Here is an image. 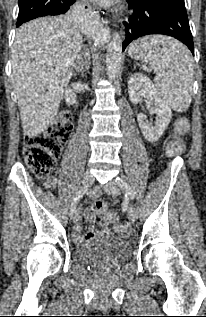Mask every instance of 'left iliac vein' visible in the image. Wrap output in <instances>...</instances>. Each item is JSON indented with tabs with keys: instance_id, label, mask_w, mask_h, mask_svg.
<instances>
[{
	"instance_id": "1",
	"label": "left iliac vein",
	"mask_w": 206,
	"mask_h": 317,
	"mask_svg": "<svg viewBox=\"0 0 206 317\" xmlns=\"http://www.w3.org/2000/svg\"><path fill=\"white\" fill-rule=\"evenodd\" d=\"M105 189L114 197H117L120 194V186L118 185L116 180H111L105 187ZM128 217L132 222H135L138 217L137 210L132 204H129L128 206Z\"/></svg>"
}]
</instances>
